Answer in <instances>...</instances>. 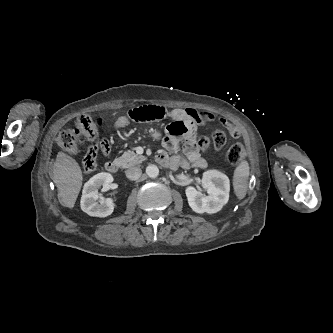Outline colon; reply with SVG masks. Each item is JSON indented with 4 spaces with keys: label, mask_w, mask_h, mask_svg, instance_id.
<instances>
[{
    "label": "colon",
    "mask_w": 333,
    "mask_h": 333,
    "mask_svg": "<svg viewBox=\"0 0 333 333\" xmlns=\"http://www.w3.org/2000/svg\"><path fill=\"white\" fill-rule=\"evenodd\" d=\"M167 115V110L161 106L143 104L126 110L123 116L126 121L131 123L137 121L145 123L161 120ZM176 115L181 118L180 113H176ZM100 127L101 121H95L91 117L84 115L77 119L73 129L62 131L58 136L59 145L70 153L77 151L78 140L81 136L92 142L83 159V166L87 173H92L96 170V159L99 149L104 154H108L110 151V141L106 137L98 140ZM169 131L176 135L194 133L193 127L187 126L183 121L176 122L169 128ZM195 140L202 149H207L210 146L218 149L226 143V134L224 130L217 129L212 133L210 139L204 134H197L195 135ZM243 155V147L238 143L231 145L227 152L228 161L233 166L238 165L242 161Z\"/></svg>",
    "instance_id": "5ec220e1"
}]
</instances>
